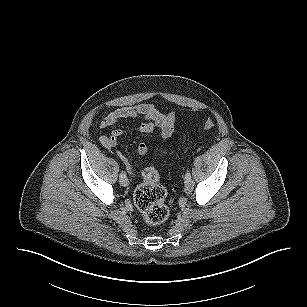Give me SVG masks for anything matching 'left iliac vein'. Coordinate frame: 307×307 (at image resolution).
Wrapping results in <instances>:
<instances>
[{
	"label": "left iliac vein",
	"mask_w": 307,
	"mask_h": 307,
	"mask_svg": "<svg viewBox=\"0 0 307 307\" xmlns=\"http://www.w3.org/2000/svg\"><path fill=\"white\" fill-rule=\"evenodd\" d=\"M184 187L185 190L191 191L194 187V181L191 178H186Z\"/></svg>",
	"instance_id": "left-iliac-vein-1"
}]
</instances>
